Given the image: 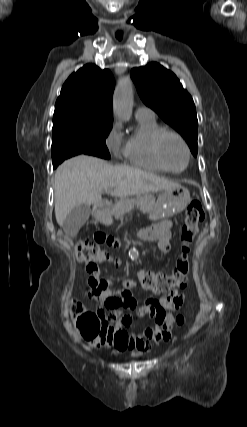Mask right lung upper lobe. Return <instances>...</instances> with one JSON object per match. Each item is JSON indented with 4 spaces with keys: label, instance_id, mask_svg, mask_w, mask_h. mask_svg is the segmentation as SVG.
<instances>
[{
    "label": "right lung upper lobe",
    "instance_id": "right-lung-upper-lobe-1",
    "mask_svg": "<svg viewBox=\"0 0 247 427\" xmlns=\"http://www.w3.org/2000/svg\"><path fill=\"white\" fill-rule=\"evenodd\" d=\"M114 79L108 69L86 64L64 83L54 114L75 112L93 120H113Z\"/></svg>",
    "mask_w": 247,
    "mask_h": 427
}]
</instances>
